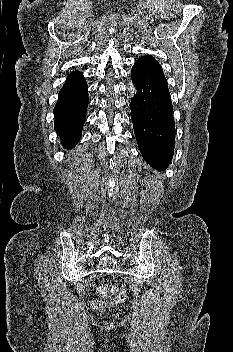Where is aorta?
Instances as JSON below:
<instances>
[{"mask_svg": "<svg viewBox=\"0 0 233 352\" xmlns=\"http://www.w3.org/2000/svg\"><path fill=\"white\" fill-rule=\"evenodd\" d=\"M128 91L131 94V96H135L136 88L134 87V84L132 82L129 83Z\"/></svg>", "mask_w": 233, "mask_h": 352, "instance_id": "762f6f07", "label": "aorta"}]
</instances>
